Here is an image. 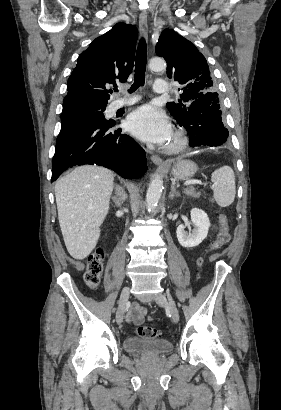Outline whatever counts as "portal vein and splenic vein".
<instances>
[{
  "label": "portal vein and splenic vein",
  "instance_id": "obj_1",
  "mask_svg": "<svg viewBox=\"0 0 281 410\" xmlns=\"http://www.w3.org/2000/svg\"><path fill=\"white\" fill-rule=\"evenodd\" d=\"M192 184H202L201 180H189L184 183V185H192Z\"/></svg>",
  "mask_w": 281,
  "mask_h": 410
}]
</instances>
